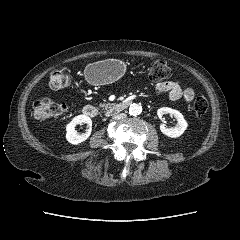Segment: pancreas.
I'll use <instances>...</instances> for the list:
<instances>
[{"label": "pancreas", "mask_w": 240, "mask_h": 240, "mask_svg": "<svg viewBox=\"0 0 240 240\" xmlns=\"http://www.w3.org/2000/svg\"><path fill=\"white\" fill-rule=\"evenodd\" d=\"M111 105L110 104H105V103H100L99 107L103 108V109H107L109 108Z\"/></svg>", "instance_id": "cf45deb5"}]
</instances>
